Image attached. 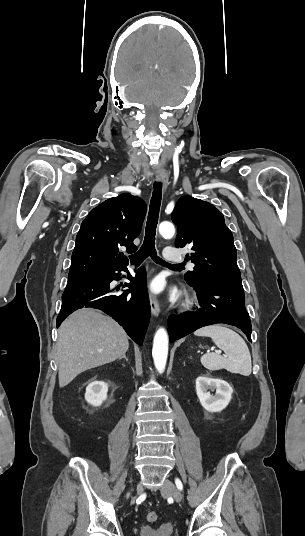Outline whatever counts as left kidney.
<instances>
[{"instance_id": "obj_1", "label": "left kidney", "mask_w": 305, "mask_h": 536, "mask_svg": "<svg viewBox=\"0 0 305 536\" xmlns=\"http://www.w3.org/2000/svg\"><path fill=\"white\" fill-rule=\"evenodd\" d=\"M216 390V394L211 392ZM232 388L228 382L220 380V378H210V376H199L196 380V394L200 400L201 406L207 412H221L228 406L232 398Z\"/></svg>"}]
</instances>
